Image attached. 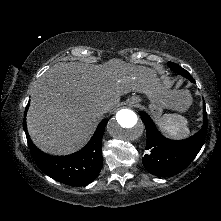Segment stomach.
Instances as JSON below:
<instances>
[{
	"mask_svg": "<svg viewBox=\"0 0 221 221\" xmlns=\"http://www.w3.org/2000/svg\"><path fill=\"white\" fill-rule=\"evenodd\" d=\"M177 94L180 97V101L181 104L184 108H187L188 104H189V97L187 94L185 93H177V92H173V91H166V96H171ZM132 99H136V100H140L139 97L137 96H133ZM165 104H164V99L159 98V99H155V98H150L149 99V109L152 113V115L158 119L161 115L163 110L165 109Z\"/></svg>",
	"mask_w": 221,
	"mask_h": 221,
	"instance_id": "obj_1",
	"label": "stomach"
}]
</instances>
